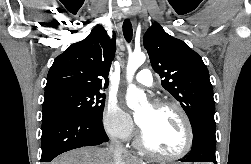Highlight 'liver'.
<instances>
[{
  "mask_svg": "<svg viewBox=\"0 0 251 164\" xmlns=\"http://www.w3.org/2000/svg\"><path fill=\"white\" fill-rule=\"evenodd\" d=\"M51 164H146L141 159L126 155L117 163L111 148L82 147L64 153Z\"/></svg>",
  "mask_w": 251,
  "mask_h": 164,
  "instance_id": "obj_1",
  "label": "liver"
}]
</instances>
